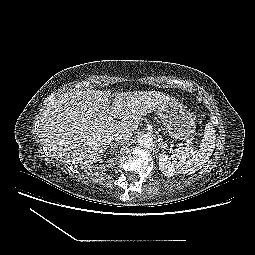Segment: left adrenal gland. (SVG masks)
<instances>
[{
	"instance_id": "left-adrenal-gland-1",
	"label": "left adrenal gland",
	"mask_w": 255,
	"mask_h": 255,
	"mask_svg": "<svg viewBox=\"0 0 255 255\" xmlns=\"http://www.w3.org/2000/svg\"><path fill=\"white\" fill-rule=\"evenodd\" d=\"M159 147L160 148H166L167 147V144L162 140V138H159Z\"/></svg>"
}]
</instances>
